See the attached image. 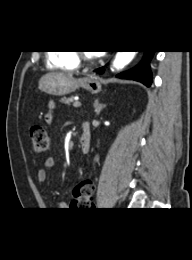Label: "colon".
<instances>
[{
    "mask_svg": "<svg viewBox=\"0 0 192 260\" xmlns=\"http://www.w3.org/2000/svg\"><path fill=\"white\" fill-rule=\"evenodd\" d=\"M30 136L32 140V145L35 153L43 154L50 146V138L45 128L40 125H34L30 129ZM95 186L93 181L85 177L81 179L73 190L74 200L84 203L86 201H91L93 203V194Z\"/></svg>",
    "mask_w": 192,
    "mask_h": 260,
    "instance_id": "obj_1",
    "label": "colon"
}]
</instances>
